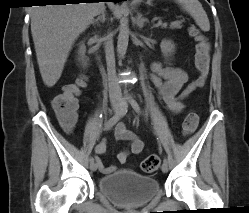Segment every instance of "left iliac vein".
I'll return each instance as SVG.
<instances>
[{
  "mask_svg": "<svg viewBox=\"0 0 249 213\" xmlns=\"http://www.w3.org/2000/svg\"><path fill=\"white\" fill-rule=\"evenodd\" d=\"M161 170L164 173L168 172V163L167 162H163V164L161 166Z\"/></svg>",
  "mask_w": 249,
  "mask_h": 213,
  "instance_id": "obj_1",
  "label": "left iliac vein"
}]
</instances>
